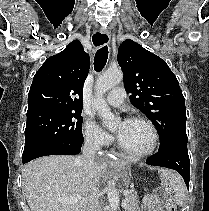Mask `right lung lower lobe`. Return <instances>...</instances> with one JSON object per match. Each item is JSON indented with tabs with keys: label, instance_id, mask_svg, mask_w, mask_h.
I'll return each instance as SVG.
<instances>
[{
	"label": "right lung lower lobe",
	"instance_id": "1",
	"mask_svg": "<svg viewBox=\"0 0 209 211\" xmlns=\"http://www.w3.org/2000/svg\"><path fill=\"white\" fill-rule=\"evenodd\" d=\"M83 142L80 143H58L47 147H44L28 157L22 159L23 164L27 163L35 158L46 156V155H57V154H69L76 155L81 152V146Z\"/></svg>",
	"mask_w": 209,
	"mask_h": 211
}]
</instances>
